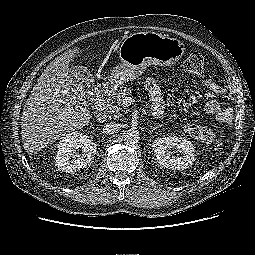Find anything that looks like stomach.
Masks as SVG:
<instances>
[{"mask_svg":"<svg viewBox=\"0 0 255 255\" xmlns=\"http://www.w3.org/2000/svg\"><path fill=\"white\" fill-rule=\"evenodd\" d=\"M185 53L184 44L155 32L130 34L119 48L121 63L110 73V85L119 87L138 78L151 65L170 66Z\"/></svg>","mask_w":255,"mask_h":255,"instance_id":"0dacf381","label":"stomach"}]
</instances>
